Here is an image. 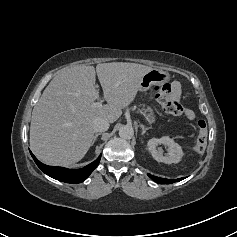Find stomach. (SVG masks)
<instances>
[{"label":"stomach","mask_w":237,"mask_h":237,"mask_svg":"<svg viewBox=\"0 0 237 237\" xmlns=\"http://www.w3.org/2000/svg\"><path fill=\"white\" fill-rule=\"evenodd\" d=\"M170 78L171 76L168 72L153 68L143 75L139 84V90L147 91L152 85L167 82Z\"/></svg>","instance_id":"0dacf381"}]
</instances>
